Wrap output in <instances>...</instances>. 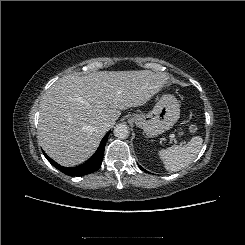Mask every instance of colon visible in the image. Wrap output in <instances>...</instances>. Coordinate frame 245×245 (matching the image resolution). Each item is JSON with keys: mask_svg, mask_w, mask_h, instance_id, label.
Segmentation results:
<instances>
[{"mask_svg": "<svg viewBox=\"0 0 245 245\" xmlns=\"http://www.w3.org/2000/svg\"><path fill=\"white\" fill-rule=\"evenodd\" d=\"M189 131L191 134H196L199 131V128L197 125H191Z\"/></svg>", "mask_w": 245, "mask_h": 245, "instance_id": "5ec220e1", "label": "colon"}]
</instances>
